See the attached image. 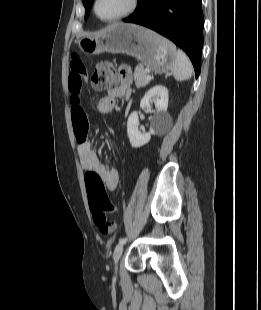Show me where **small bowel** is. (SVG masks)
Listing matches in <instances>:
<instances>
[{
  "instance_id": "small-bowel-1",
  "label": "small bowel",
  "mask_w": 261,
  "mask_h": 310,
  "mask_svg": "<svg viewBox=\"0 0 261 310\" xmlns=\"http://www.w3.org/2000/svg\"><path fill=\"white\" fill-rule=\"evenodd\" d=\"M119 84L110 87L107 95L100 99L98 110L107 113L114 108L115 101L126 96L132 83V72L128 66L119 68ZM86 80V71L82 60L77 55H72L70 60V71L68 87L71 96V116L76 140L77 151L81 166L86 171L98 173L110 191L118 187L119 176L113 164L104 165L100 162L96 151L87 140L88 120L86 113L80 103L79 94Z\"/></svg>"
}]
</instances>
